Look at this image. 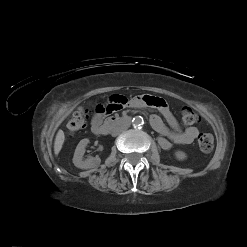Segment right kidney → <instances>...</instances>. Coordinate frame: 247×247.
Masks as SVG:
<instances>
[{
	"label": "right kidney",
	"mask_w": 247,
	"mask_h": 247,
	"mask_svg": "<svg viewBox=\"0 0 247 247\" xmlns=\"http://www.w3.org/2000/svg\"><path fill=\"white\" fill-rule=\"evenodd\" d=\"M88 143H89L88 139H82L78 143L75 149L73 163L77 168L90 169V168L97 167L101 162V159L99 157H91V158L83 160V155L85 153V147L87 146Z\"/></svg>",
	"instance_id": "right-kidney-1"
}]
</instances>
